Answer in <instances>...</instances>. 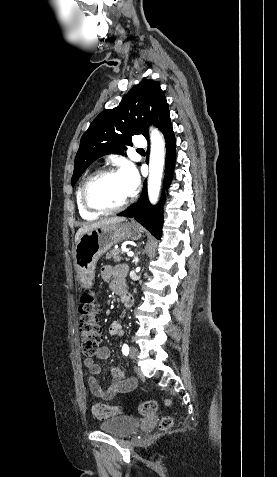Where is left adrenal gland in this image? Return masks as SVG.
Instances as JSON below:
<instances>
[{
    "instance_id": "obj_1",
    "label": "left adrenal gland",
    "mask_w": 277,
    "mask_h": 477,
    "mask_svg": "<svg viewBox=\"0 0 277 477\" xmlns=\"http://www.w3.org/2000/svg\"><path fill=\"white\" fill-rule=\"evenodd\" d=\"M134 262H135L136 265L139 262V258L137 256L134 258Z\"/></svg>"
}]
</instances>
